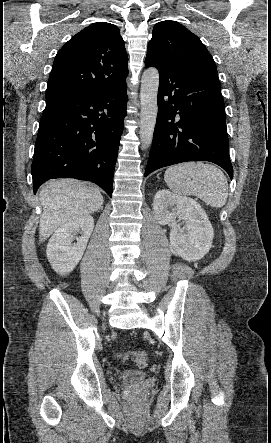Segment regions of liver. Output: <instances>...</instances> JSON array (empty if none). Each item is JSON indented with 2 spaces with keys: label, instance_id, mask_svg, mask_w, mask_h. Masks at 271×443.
<instances>
[{
  "label": "liver",
  "instance_id": "liver-1",
  "mask_svg": "<svg viewBox=\"0 0 271 443\" xmlns=\"http://www.w3.org/2000/svg\"><path fill=\"white\" fill-rule=\"evenodd\" d=\"M43 212L39 222V241H45L66 222L84 214H94L104 202L99 190L87 188L77 180H50L39 194Z\"/></svg>",
  "mask_w": 271,
  "mask_h": 443
}]
</instances>
